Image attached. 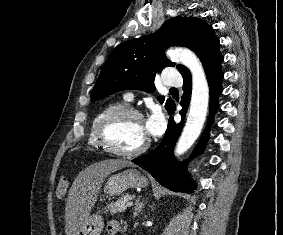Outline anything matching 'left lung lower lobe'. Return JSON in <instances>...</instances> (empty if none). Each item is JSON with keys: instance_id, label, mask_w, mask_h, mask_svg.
Masks as SVG:
<instances>
[{"instance_id": "1", "label": "left lung lower lobe", "mask_w": 283, "mask_h": 235, "mask_svg": "<svg viewBox=\"0 0 283 235\" xmlns=\"http://www.w3.org/2000/svg\"><path fill=\"white\" fill-rule=\"evenodd\" d=\"M210 90V116L209 123L213 119V114L218 108L217 98L222 92L221 82L223 72L221 62L205 71ZM183 96L180 102L183 109L180 111L182 121L175 124L172 118L169 119L168 128L159 146L147 155L140 156L132 160L135 164L148 171L161 185L176 192H192L196 184L193 182L186 170L187 162H174L173 148L182 131L185 113L187 111L191 97V76L183 78ZM176 109L174 105L169 112L173 114ZM208 138L206 129L194 153L197 154L204 149V144Z\"/></svg>"}]
</instances>
